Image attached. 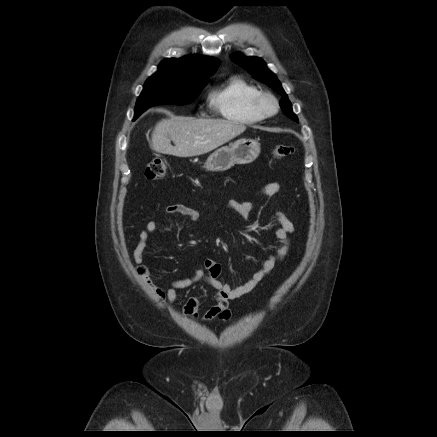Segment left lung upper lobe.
<instances>
[{"instance_id":"left-lung-upper-lobe-1","label":"left lung upper lobe","mask_w":437,"mask_h":437,"mask_svg":"<svg viewBox=\"0 0 437 437\" xmlns=\"http://www.w3.org/2000/svg\"><path fill=\"white\" fill-rule=\"evenodd\" d=\"M231 60L241 67L248 70L254 78L267 84L273 88L278 94L282 96L280 101V107L282 111L292 120L298 122V118L292 111V105L284 92L281 83L277 79L276 75L272 73L267 67L265 62L258 57H245L241 53H235L231 55Z\"/></svg>"}]
</instances>
